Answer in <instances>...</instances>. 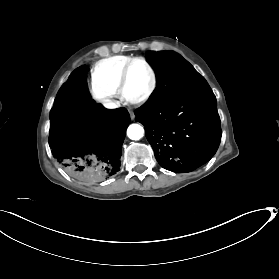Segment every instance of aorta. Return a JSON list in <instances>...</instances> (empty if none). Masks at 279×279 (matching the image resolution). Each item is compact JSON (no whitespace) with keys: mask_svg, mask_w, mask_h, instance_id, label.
<instances>
[{"mask_svg":"<svg viewBox=\"0 0 279 279\" xmlns=\"http://www.w3.org/2000/svg\"><path fill=\"white\" fill-rule=\"evenodd\" d=\"M143 135H144V129L139 124H131L127 128V136L131 140H139L143 137Z\"/></svg>","mask_w":279,"mask_h":279,"instance_id":"762f6f07","label":"aorta"}]
</instances>
